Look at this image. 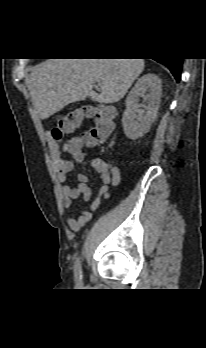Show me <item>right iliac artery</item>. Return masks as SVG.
Instances as JSON below:
<instances>
[{
  "mask_svg": "<svg viewBox=\"0 0 206 348\" xmlns=\"http://www.w3.org/2000/svg\"><path fill=\"white\" fill-rule=\"evenodd\" d=\"M74 272H75V279L78 284H81L82 282V269H81V262L80 259L77 258L74 266Z\"/></svg>",
  "mask_w": 206,
  "mask_h": 348,
  "instance_id": "1",
  "label": "right iliac artery"
}]
</instances>
